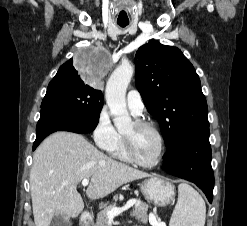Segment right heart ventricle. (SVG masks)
I'll list each match as a JSON object with an SVG mask.
<instances>
[{"label":"right heart ventricle","mask_w":247,"mask_h":226,"mask_svg":"<svg viewBox=\"0 0 247 226\" xmlns=\"http://www.w3.org/2000/svg\"><path fill=\"white\" fill-rule=\"evenodd\" d=\"M123 133L121 131H117V137L114 144L107 150L109 154L119 160L122 161H130L126 155L124 144H123Z\"/></svg>","instance_id":"1"}]
</instances>
